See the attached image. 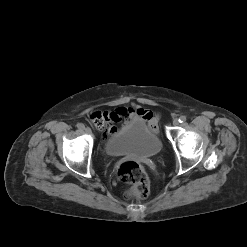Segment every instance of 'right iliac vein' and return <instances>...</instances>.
<instances>
[{
    "label": "right iliac vein",
    "instance_id": "1",
    "mask_svg": "<svg viewBox=\"0 0 247 247\" xmlns=\"http://www.w3.org/2000/svg\"><path fill=\"white\" fill-rule=\"evenodd\" d=\"M84 130H85V132L87 134H91L92 133V131H91V129L89 127H86Z\"/></svg>",
    "mask_w": 247,
    "mask_h": 247
}]
</instances>
